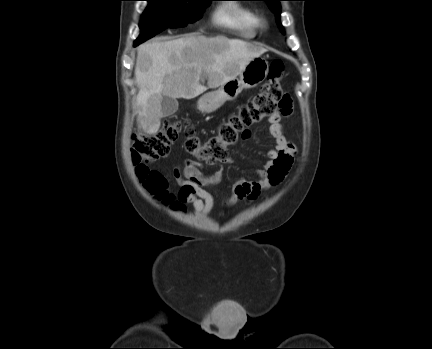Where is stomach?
<instances>
[{"label": "stomach", "mask_w": 432, "mask_h": 349, "mask_svg": "<svg viewBox=\"0 0 432 349\" xmlns=\"http://www.w3.org/2000/svg\"><path fill=\"white\" fill-rule=\"evenodd\" d=\"M268 73V61L260 56L255 57L245 66L239 78L232 79L217 90L202 95L197 102V108L202 113H212L226 101L237 99L243 89L254 88L261 84Z\"/></svg>", "instance_id": "0dacf381"}]
</instances>
